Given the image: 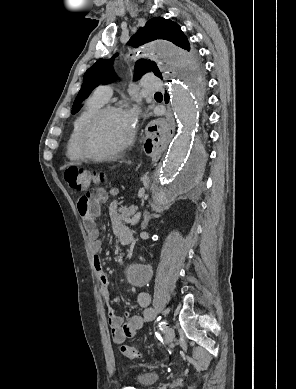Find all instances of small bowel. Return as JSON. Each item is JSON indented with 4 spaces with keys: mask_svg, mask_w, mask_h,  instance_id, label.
<instances>
[{
    "mask_svg": "<svg viewBox=\"0 0 296 389\" xmlns=\"http://www.w3.org/2000/svg\"><path fill=\"white\" fill-rule=\"evenodd\" d=\"M117 194L116 189L105 190L98 187L91 192L79 198L77 203V209L82 219L83 225L86 229L89 241L90 249L94 254L93 264L100 282V290L103 298L107 303L111 301V293L109 290L108 277L103 271L102 262L99 256V252L102 248V242L99 239V231L97 228V218L100 215V208L102 203L114 197ZM117 202H112L109 208V217L112 225V229L120 241L123 238H129L132 240L131 231L124 226L118 216ZM137 302L139 306L145 310L142 315H130L126 313V319L115 314L114 310L110 308L108 316V324L110 328L111 338L114 343L121 344L127 338L133 337L136 332L153 318V312L150 308L151 296L146 291H141L137 295Z\"/></svg>",
    "mask_w": 296,
    "mask_h": 389,
    "instance_id": "small-bowel-1",
    "label": "small bowel"
}]
</instances>
